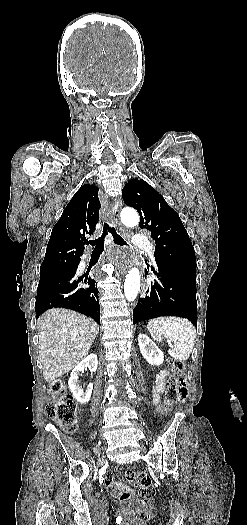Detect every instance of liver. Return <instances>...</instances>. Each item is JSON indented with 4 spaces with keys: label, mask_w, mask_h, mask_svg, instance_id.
<instances>
[{
    "label": "liver",
    "mask_w": 247,
    "mask_h": 525,
    "mask_svg": "<svg viewBox=\"0 0 247 525\" xmlns=\"http://www.w3.org/2000/svg\"><path fill=\"white\" fill-rule=\"evenodd\" d=\"M37 329L43 377L49 383L84 361L99 331L93 319L69 309H48Z\"/></svg>",
    "instance_id": "obj_1"
}]
</instances>
